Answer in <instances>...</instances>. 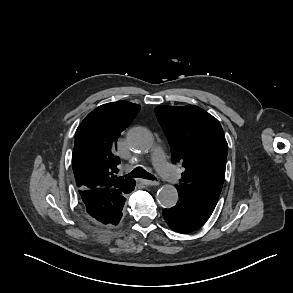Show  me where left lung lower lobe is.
Returning a JSON list of instances; mask_svg holds the SVG:
<instances>
[{
  "label": "left lung lower lobe",
  "mask_w": 293,
  "mask_h": 293,
  "mask_svg": "<svg viewBox=\"0 0 293 293\" xmlns=\"http://www.w3.org/2000/svg\"><path fill=\"white\" fill-rule=\"evenodd\" d=\"M213 211L199 201L179 194L176 205L170 209H164L162 213L173 231L186 234L202 227Z\"/></svg>",
  "instance_id": "0a47b994"
}]
</instances>
